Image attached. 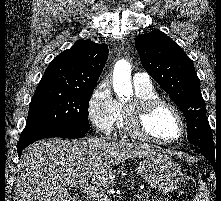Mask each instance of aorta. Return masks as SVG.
I'll use <instances>...</instances> for the list:
<instances>
[{
  "label": "aorta",
  "instance_id": "1",
  "mask_svg": "<svg viewBox=\"0 0 221 201\" xmlns=\"http://www.w3.org/2000/svg\"><path fill=\"white\" fill-rule=\"evenodd\" d=\"M113 88L119 97H129L132 93L131 66L127 62L118 64L113 74Z\"/></svg>",
  "mask_w": 221,
  "mask_h": 201
}]
</instances>
